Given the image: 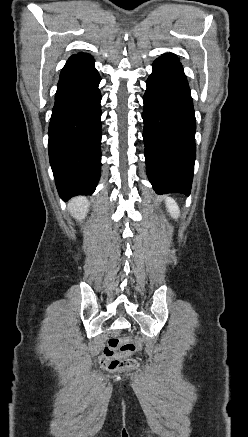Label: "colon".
<instances>
[{
    "label": "colon",
    "instance_id": "colon-1",
    "mask_svg": "<svg viewBox=\"0 0 248 437\" xmlns=\"http://www.w3.org/2000/svg\"><path fill=\"white\" fill-rule=\"evenodd\" d=\"M141 351L138 338L122 339L112 337L108 340L100 359L102 368L111 371H129L137 367L134 356Z\"/></svg>",
    "mask_w": 248,
    "mask_h": 437
}]
</instances>
